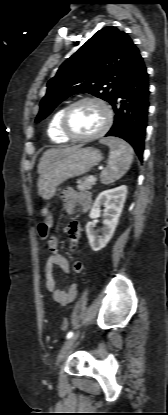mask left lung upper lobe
Wrapping results in <instances>:
<instances>
[{
  "mask_svg": "<svg viewBox=\"0 0 168 415\" xmlns=\"http://www.w3.org/2000/svg\"><path fill=\"white\" fill-rule=\"evenodd\" d=\"M139 55L125 32L113 26L97 31L48 82L35 122L43 120L59 103L77 93H90L111 103Z\"/></svg>",
  "mask_w": 168,
  "mask_h": 415,
  "instance_id": "obj_1",
  "label": "left lung upper lobe"
}]
</instances>
